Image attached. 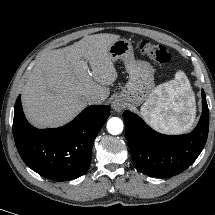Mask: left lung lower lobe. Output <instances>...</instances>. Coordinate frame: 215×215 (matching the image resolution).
<instances>
[{
  "label": "left lung lower lobe",
  "mask_w": 215,
  "mask_h": 215,
  "mask_svg": "<svg viewBox=\"0 0 215 215\" xmlns=\"http://www.w3.org/2000/svg\"><path fill=\"white\" fill-rule=\"evenodd\" d=\"M126 138L137 169L152 177H171L186 170L204 148L209 130V110L202 90V115L196 128L185 135H163L138 115L125 111Z\"/></svg>",
  "instance_id": "1"
}]
</instances>
